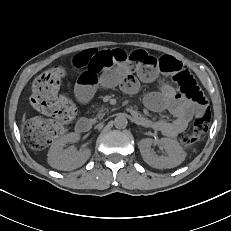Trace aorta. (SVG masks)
<instances>
[{
  "mask_svg": "<svg viewBox=\"0 0 231 231\" xmlns=\"http://www.w3.org/2000/svg\"><path fill=\"white\" fill-rule=\"evenodd\" d=\"M127 124H128V120L123 115H118L115 118V120H114V125L118 129H124V128H126Z\"/></svg>",
  "mask_w": 231,
  "mask_h": 231,
  "instance_id": "1",
  "label": "aorta"
}]
</instances>
